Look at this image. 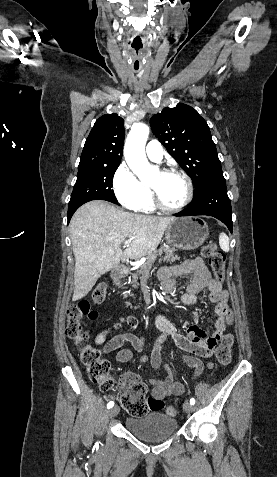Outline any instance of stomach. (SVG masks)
Masks as SVG:
<instances>
[{
  "mask_svg": "<svg viewBox=\"0 0 277 477\" xmlns=\"http://www.w3.org/2000/svg\"><path fill=\"white\" fill-rule=\"evenodd\" d=\"M209 236L207 223L198 217H180L171 221L165 233L168 244L182 250L200 247Z\"/></svg>",
  "mask_w": 277,
  "mask_h": 477,
  "instance_id": "stomach-1",
  "label": "stomach"
}]
</instances>
